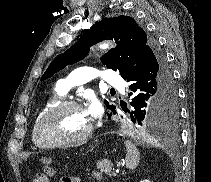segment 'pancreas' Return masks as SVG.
<instances>
[{
	"label": "pancreas",
	"instance_id": "1",
	"mask_svg": "<svg viewBox=\"0 0 211 182\" xmlns=\"http://www.w3.org/2000/svg\"><path fill=\"white\" fill-rule=\"evenodd\" d=\"M97 168L100 169L101 172L110 175L112 164L109 161L102 160L97 163Z\"/></svg>",
	"mask_w": 211,
	"mask_h": 182
}]
</instances>
